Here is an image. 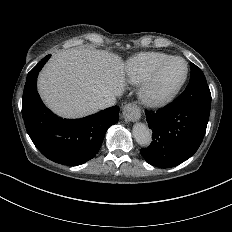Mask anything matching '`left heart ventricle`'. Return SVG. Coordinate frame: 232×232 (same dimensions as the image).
Returning <instances> with one entry per match:
<instances>
[{"label": "left heart ventricle", "mask_w": 232, "mask_h": 232, "mask_svg": "<svg viewBox=\"0 0 232 232\" xmlns=\"http://www.w3.org/2000/svg\"><path fill=\"white\" fill-rule=\"evenodd\" d=\"M186 72V64L183 61H175L171 63L156 79L148 95L157 98L165 92L176 86L184 77Z\"/></svg>", "instance_id": "left-heart-ventricle-1"}]
</instances>
